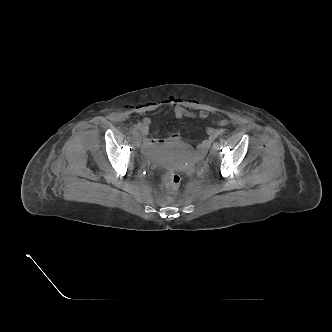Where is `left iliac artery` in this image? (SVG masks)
Here are the masks:
<instances>
[{
  "label": "left iliac artery",
  "mask_w": 332,
  "mask_h": 332,
  "mask_svg": "<svg viewBox=\"0 0 332 332\" xmlns=\"http://www.w3.org/2000/svg\"><path fill=\"white\" fill-rule=\"evenodd\" d=\"M219 142L217 141V142H215L214 144H213V147H215L217 150L219 149Z\"/></svg>",
  "instance_id": "1"
}]
</instances>
